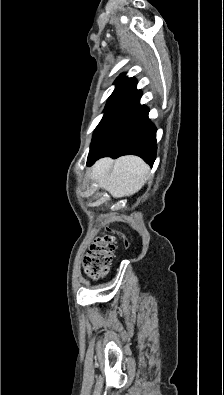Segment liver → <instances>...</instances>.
Instances as JSON below:
<instances>
[{"label":"liver","mask_w":224,"mask_h":395,"mask_svg":"<svg viewBox=\"0 0 224 395\" xmlns=\"http://www.w3.org/2000/svg\"><path fill=\"white\" fill-rule=\"evenodd\" d=\"M150 167L139 157L128 155L112 160L103 158L92 167L91 178L114 198L131 196L138 192L148 179Z\"/></svg>","instance_id":"obj_1"}]
</instances>
